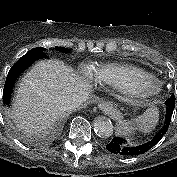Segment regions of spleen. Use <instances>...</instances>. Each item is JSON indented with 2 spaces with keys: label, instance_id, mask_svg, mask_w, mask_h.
<instances>
[{
  "label": "spleen",
  "instance_id": "obj_1",
  "mask_svg": "<svg viewBox=\"0 0 177 177\" xmlns=\"http://www.w3.org/2000/svg\"><path fill=\"white\" fill-rule=\"evenodd\" d=\"M159 120V111L157 107L151 106L143 115L136 118V123L140 131L149 133L155 128Z\"/></svg>",
  "mask_w": 177,
  "mask_h": 177
}]
</instances>
